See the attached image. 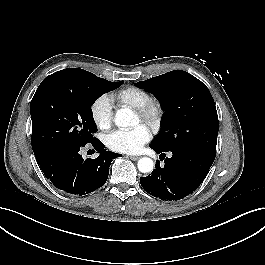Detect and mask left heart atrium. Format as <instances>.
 <instances>
[{"mask_svg":"<svg viewBox=\"0 0 265 265\" xmlns=\"http://www.w3.org/2000/svg\"><path fill=\"white\" fill-rule=\"evenodd\" d=\"M150 139L149 129L138 125L129 130H116L106 136V145L113 151L137 153Z\"/></svg>","mask_w":265,"mask_h":265,"instance_id":"left-heart-atrium-1","label":"left heart atrium"}]
</instances>
